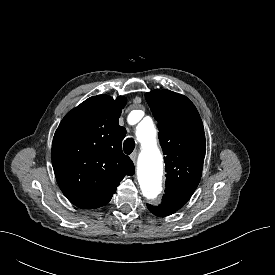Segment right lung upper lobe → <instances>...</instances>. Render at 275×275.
<instances>
[{
	"instance_id": "cb5924a9",
	"label": "right lung upper lobe",
	"mask_w": 275,
	"mask_h": 275,
	"mask_svg": "<svg viewBox=\"0 0 275 275\" xmlns=\"http://www.w3.org/2000/svg\"><path fill=\"white\" fill-rule=\"evenodd\" d=\"M125 97L88 98L61 121L52 143V165L67 199L81 209L108 203L125 175L134 174L122 152L124 127L118 125Z\"/></svg>"
}]
</instances>
